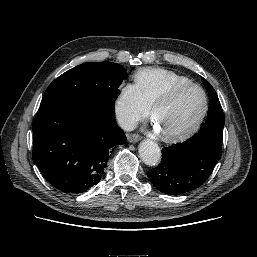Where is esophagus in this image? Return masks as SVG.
<instances>
[{
  "label": "esophagus",
  "instance_id": "esophagus-1",
  "mask_svg": "<svg viewBox=\"0 0 257 257\" xmlns=\"http://www.w3.org/2000/svg\"><path fill=\"white\" fill-rule=\"evenodd\" d=\"M127 139L131 143H136L141 139V136L138 134H128Z\"/></svg>",
  "mask_w": 257,
  "mask_h": 257
}]
</instances>
